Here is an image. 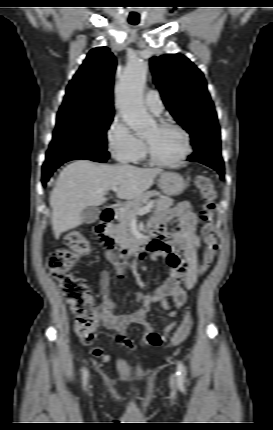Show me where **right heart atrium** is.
Segmentation results:
<instances>
[{"label":"right heart atrium","instance_id":"obj_1","mask_svg":"<svg viewBox=\"0 0 273 430\" xmlns=\"http://www.w3.org/2000/svg\"><path fill=\"white\" fill-rule=\"evenodd\" d=\"M110 153L121 163L134 162L144 151L143 141L133 133L119 115H116L106 132Z\"/></svg>","mask_w":273,"mask_h":430}]
</instances>
